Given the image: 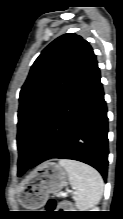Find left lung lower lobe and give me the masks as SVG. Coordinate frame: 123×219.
Wrapping results in <instances>:
<instances>
[{
    "mask_svg": "<svg viewBox=\"0 0 123 219\" xmlns=\"http://www.w3.org/2000/svg\"><path fill=\"white\" fill-rule=\"evenodd\" d=\"M100 78L95 61L58 108L27 169L52 158L73 159L94 167L106 179L108 118Z\"/></svg>",
    "mask_w": 123,
    "mask_h": 219,
    "instance_id": "obj_1",
    "label": "left lung lower lobe"
}]
</instances>
